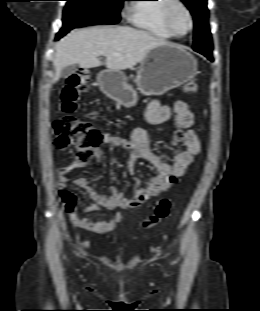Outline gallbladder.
<instances>
[{"mask_svg":"<svg viewBox=\"0 0 260 311\" xmlns=\"http://www.w3.org/2000/svg\"><path fill=\"white\" fill-rule=\"evenodd\" d=\"M77 71V65H70L64 67L61 71V77L68 78L69 76L73 75Z\"/></svg>","mask_w":260,"mask_h":311,"instance_id":"obj_1","label":"gallbladder"}]
</instances>
